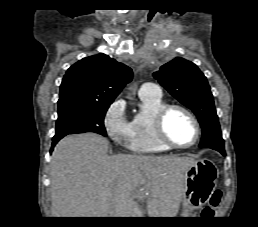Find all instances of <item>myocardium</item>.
Returning <instances> with one entry per match:
<instances>
[{
	"instance_id": "f54148a6",
	"label": "myocardium",
	"mask_w": 258,
	"mask_h": 227,
	"mask_svg": "<svg viewBox=\"0 0 258 227\" xmlns=\"http://www.w3.org/2000/svg\"><path fill=\"white\" fill-rule=\"evenodd\" d=\"M174 110H178L186 114L194 125L195 137L193 141L190 142L189 144L182 145L174 142L166 132L165 123H166L167 116L169 115L170 112ZM154 129H155L157 139L164 145L168 146L169 148L187 149V148L193 147L199 141L200 135H201L200 124L196 116L189 109L176 104L164 105L162 108H160L157 111L154 118Z\"/></svg>"
}]
</instances>
